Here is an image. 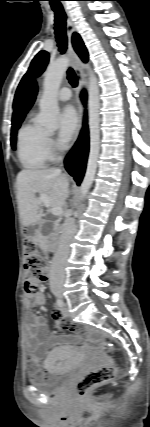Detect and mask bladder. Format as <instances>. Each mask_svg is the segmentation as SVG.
Instances as JSON below:
<instances>
[{"mask_svg":"<svg viewBox=\"0 0 150 427\" xmlns=\"http://www.w3.org/2000/svg\"><path fill=\"white\" fill-rule=\"evenodd\" d=\"M74 372V367L62 369L50 367L45 378L31 379L30 383L45 394H57L66 386Z\"/></svg>","mask_w":150,"mask_h":427,"instance_id":"1","label":"bladder"}]
</instances>
